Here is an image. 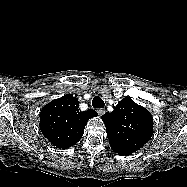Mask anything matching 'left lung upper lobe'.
<instances>
[{"instance_id":"1","label":"left lung upper lobe","mask_w":187,"mask_h":187,"mask_svg":"<svg viewBox=\"0 0 187 187\" xmlns=\"http://www.w3.org/2000/svg\"><path fill=\"white\" fill-rule=\"evenodd\" d=\"M112 150L128 156L141 149L153 135V118L130 97L122 99L112 113L102 117Z\"/></svg>"}]
</instances>
